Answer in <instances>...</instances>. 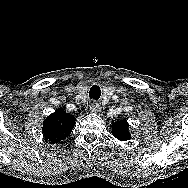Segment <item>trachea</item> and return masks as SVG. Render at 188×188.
Returning a JSON list of instances; mask_svg holds the SVG:
<instances>
[{
    "mask_svg": "<svg viewBox=\"0 0 188 188\" xmlns=\"http://www.w3.org/2000/svg\"><path fill=\"white\" fill-rule=\"evenodd\" d=\"M101 96V90L98 85H93L89 90L90 99L98 100Z\"/></svg>",
    "mask_w": 188,
    "mask_h": 188,
    "instance_id": "1",
    "label": "trachea"
}]
</instances>
